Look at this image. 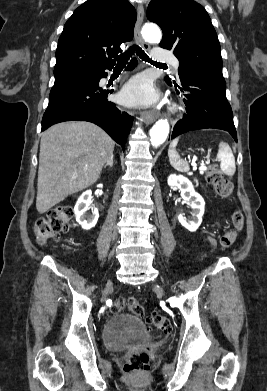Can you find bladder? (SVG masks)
<instances>
[{"mask_svg":"<svg viewBox=\"0 0 267 391\" xmlns=\"http://www.w3.org/2000/svg\"><path fill=\"white\" fill-rule=\"evenodd\" d=\"M146 338L143 325L134 316L119 313L107 320L103 329L105 346L119 351L144 341Z\"/></svg>","mask_w":267,"mask_h":391,"instance_id":"31cf9c89","label":"bladder"}]
</instances>
